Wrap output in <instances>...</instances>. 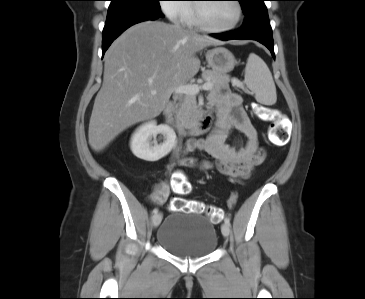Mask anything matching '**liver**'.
Listing matches in <instances>:
<instances>
[{
	"label": "liver",
	"mask_w": 365,
	"mask_h": 299,
	"mask_svg": "<svg viewBox=\"0 0 365 299\" xmlns=\"http://www.w3.org/2000/svg\"><path fill=\"white\" fill-rule=\"evenodd\" d=\"M222 44L160 21L127 29L105 54L103 84L89 122L91 148L100 152L128 127L157 117L175 88L198 73L196 52Z\"/></svg>",
	"instance_id": "obj_1"
}]
</instances>
